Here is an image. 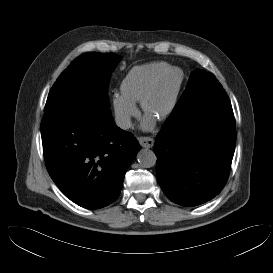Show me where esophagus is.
<instances>
[{
	"mask_svg": "<svg viewBox=\"0 0 273 273\" xmlns=\"http://www.w3.org/2000/svg\"><path fill=\"white\" fill-rule=\"evenodd\" d=\"M139 143L144 148H151L154 145V140L151 137L143 136L139 138Z\"/></svg>",
	"mask_w": 273,
	"mask_h": 273,
	"instance_id": "obj_1",
	"label": "esophagus"
}]
</instances>
